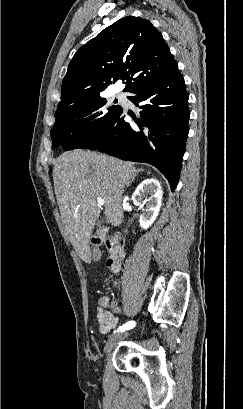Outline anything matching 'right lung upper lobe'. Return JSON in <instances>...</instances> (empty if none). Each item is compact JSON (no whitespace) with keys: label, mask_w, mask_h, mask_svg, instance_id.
<instances>
[{"label":"right lung upper lobe","mask_w":243,"mask_h":409,"mask_svg":"<svg viewBox=\"0 0 243 409\" xmlns=\"http://www.w3.org/2000/svg\"><path fill=\"white\" fill-rule=\"evenodd\" d=\"M178 67L150 21L124 17L101 31L74 55L61 87L58 109L99 97L119 78L124 91L163 77Z\"/></svg>","instance_id":"cb5924a9"}]
</instances>
